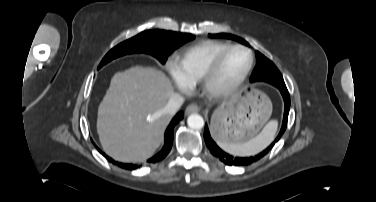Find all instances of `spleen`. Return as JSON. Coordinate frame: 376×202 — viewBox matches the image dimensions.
<instances>
[{"label":"spleen","mask_w":376,"mask_h":202,"mask_svg":"<svg viewBox=\"0 0 376 202\" xmlns=\"http://www.w3.org/2000/svg\"><path fill=\"white\" fill-rule=\"evenodd\" d=\"M278 122L272 120L255 138L244 143H227L218 141V145L227 153L235 156H251L264 150L274 139Z\"/></svg>","instance_id":"obj_1"}]
</instances>
